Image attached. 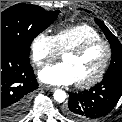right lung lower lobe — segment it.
I'll return each instance as SVG.
<instances>
[{
	"mask_svg": "<svg viewBox=\"0 0 122 122\" xmlns=\"http://www.w3.org/2000/svg\"><path fill=\"white\" fill-rule=\"evenodd\" d=\"M38 87L29 57L1 45V122H16L27 110L29 94Z\"/></svg>",
	"mask_w": 122,
	"mask_h": 122,
	"instance_id": "98d812e1",
	"label": "right lung lower lobe"
}]
</instances>
